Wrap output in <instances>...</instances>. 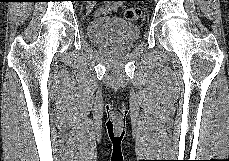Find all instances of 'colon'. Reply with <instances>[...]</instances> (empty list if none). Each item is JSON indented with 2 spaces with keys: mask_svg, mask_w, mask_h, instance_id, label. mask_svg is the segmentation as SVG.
<instances>
[{
  "mask_svg": "<svg viewBox=\"0 0 229 161\" xmlns=\"http://www.w3.org/2000/svg\"><path fill=\"white\" fill-rule=\"evenodd\" d=\"M95 1H98V0H89L90 2L89 6L93 7ZM140 16H141V10L139 8H129L125 12V17L128 20H137Z\"/></svg>",
  "mask_w": 229,
  "mask_h": 161,
  "instance_id": "obj_1",
  "label": "colon"
}]
</instances>
